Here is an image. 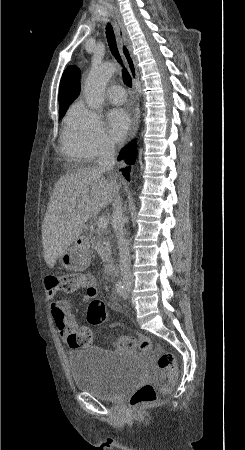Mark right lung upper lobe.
<instances>
[{
    "label": "right lung upper lobe",
    "instance_id": "1",
    "mask_svg": "<svg viewBox=\"0 0 245 450\" xmlns=\"http://www.w3.org/2000/svg\"><path fill=\"white\" fill-rule=\"evenodd\" d=\"M80 70L68 67L62 75L59 87V108L69 106L80 93Z\"/></svg>",
    "mask_w": 245,
    "mask_h": 450
}]
</instances>
